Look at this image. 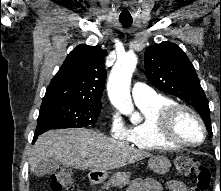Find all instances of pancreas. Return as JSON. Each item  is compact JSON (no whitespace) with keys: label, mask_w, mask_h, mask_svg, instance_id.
<instances>
[{"label":"pancreas","mask_w":221,"mask_h":191,"mask_svg":"<svg viewBox=\"0 0 221 191\" xmlns=\"http://www.w3.org/2000/svg\"><path fill=\"white\" fill-rule=\"evenodd\" d=\"M130 182V173L117 172L103 186V190H108L111 186H125Z\"/></svg>","instance_id":"cf45deb5"}]
</instances>
